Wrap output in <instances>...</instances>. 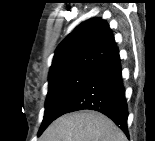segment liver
<instances>
[{"label": "liver", "mask_w": 155, "mask_h": 141, "mask_svg": "<svg viewBox=\"0 0 155 141\" xmlns=\"http://www.w3.org/2000/svg\"><path fill=\"white\" fill-rule=\"evenodd\" d=\"M42 141H126V137L105 115L83 110L56 119L44 132Z\"/></svg>", "instance_id": "1"}]
</instances>
